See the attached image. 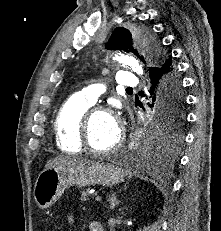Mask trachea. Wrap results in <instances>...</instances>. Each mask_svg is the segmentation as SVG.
<instances>
[{
  "label": "trachea",
  "mask_w": 221,
  "mask_h": 231,
  "mask_svg": "<svg viewBox=\"0 0 221 231\" xmlns=\"http://www.w3.org/2000/svg\"><path fill=\"white\" fill-rule=\"evenodd\" d=\"M126 90H130V91H132L133 89H132V88H127Z\"/></svg>",
  "instance_id": "trachea-1"
}]
</instances>
